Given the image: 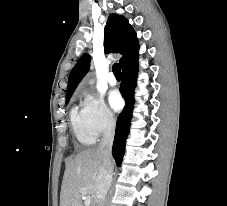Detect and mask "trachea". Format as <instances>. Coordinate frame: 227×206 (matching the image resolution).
I'll list each match as a JSON object with an SVG mask.
<instances>
[{
    "mask_svg": "<svg viewBox=\"0 0 227 206\" xmlns=\"http://www.w3.org/2000/svg\"><path fill=\"white\" fill-rule=\"evenodd\" d=\"M113 73L115 77L120 78L121 77V67L120 64L115 63L112 67Z\"/></svg>",
    "mask_w": 227,
    "mask_h": 206,
    "instance_id": "obj_1",
    "label": "trachea"
}]
</instances>
